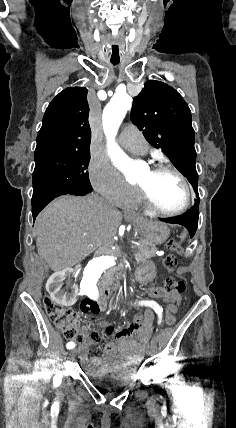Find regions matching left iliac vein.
I'll list each match as a JSON object with an SVG mask.
<instances>
[{"instance_id": "left-iliac-vein-1", "label": "left iliac vein", "mask_w": 236, "mask_h": 428, "mask_svg": "<svg viewBox=\"0 0 236 428\" xmlns=\"http://www.w3.org/2000/svg\"><path fill=\"white\" fill-rule=\"evenodd\" d=\"M156 343H157V342L154 340V341L151 343V345H150V350H151V351H150L149 353H150L151 355H153V356H154V355H156V353H157V352H156V349H155Z\"/></svg>"}]
</instances>
